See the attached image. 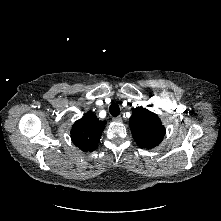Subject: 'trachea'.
Segmentation results:
<instances>
[{
    "instance_id": "trachea-1",
    "label": "trachea",
    "mask_w": 221,
    "mask_h": 221,
    "mask_svg": "<svg viewBox=\"0 0 221 221\" xmlns=\"http://www.w3.org/2000/svg\"><path fill=\"white\" fill-rule=\"evenodd\" d=\"M109 112L113 117H117L120 114V107L116 103H112L109 107Z\"/></svg>"
}]
</instances>
